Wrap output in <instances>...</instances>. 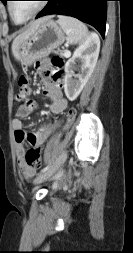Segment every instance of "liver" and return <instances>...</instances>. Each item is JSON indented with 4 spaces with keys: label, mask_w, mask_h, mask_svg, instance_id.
Segmentation results:
<instances>
[{
    "label": "liver",
    "mask_w": 133,
    "mask_h": 253,
    "mask_svg": "<svg viewBox=\"0 0 133 253\" xmlns=\"http://www.w3.org/2000/svg\"><path fill=\"white\" fill-rule=\"evenodd\" d=\"M51 19V16H47V17H43L40 18L36 21H33L30 23L29 27L22 32L21 34H19L12 42V54L15 58L18 59V50L20 45L27 39L29 38L37 29L38 27L45 21H48Z\"/></svg>",
    "instance_id": "1"
}]
</instances>
